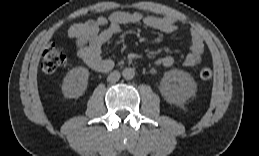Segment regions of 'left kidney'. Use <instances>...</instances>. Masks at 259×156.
Wrapping results in <instances>:
<instances>
[{
	"instance_id": "obj_1",
	"label": "left kidney",
	"mask_w": 259,
	"mask_h": 156,
	"mask_svg": "<svg viewBox=\"0 0 259 156\" xmlns=\"http://www.w3.org/2000/svg\"><path fill=\"white\" fill-rule=\"evenodd\" d=\"M159 89L168 103L181 105L196 94L197 84L189 73L173 69L164 73Z\"/></svg>"
}]
</instances>
